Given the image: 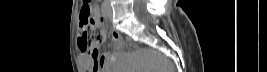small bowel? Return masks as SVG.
<instances>
[{"instance_id": "small-bowel-1", "label": "small bowel", "mask_w": 267, "mask_h": 72, "mask_svg": "<svg viewBox=\"0 0 267 72\" xmlns=\"http://www.w3.org/2000/svg\"><path fill=\"white\" fill-rule=\"evenodd\" d=\"M96 12L98 13V9L96 8ZM113 42L118 45L120 39L118 35L113 34L112 36ZM81 61L86 68H88L91 72H108V64L110 61V57L108 53L100 54L99 50L96 49L94 53H87L81 57Z\"/></svg>"}]
</instances>
